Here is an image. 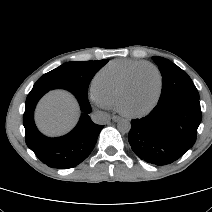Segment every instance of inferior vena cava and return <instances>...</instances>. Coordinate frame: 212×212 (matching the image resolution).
<instances>
[{
  "label": "inferior vena cava",
  "instance_id": "inferior-vena-cava-1",
  "mask_svg": "<svg viewBox=\"0 0 212 212\" xmlns=\"http://www.w3.org/2000/svg\"><path fill=\"white\" fill-rule=\"evenodd\" d=\"M91 118L93 122L97 124H105L110 120L109 114L100 110H95L92 113Z\"/></svg>",
  "mask_w": 212,
  "mask_h": 212
}]
</instances>
